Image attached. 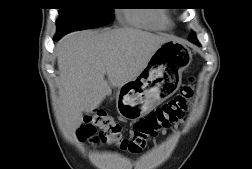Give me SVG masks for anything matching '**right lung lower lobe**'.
<instances>
[{"instance_id": "98d812e1", "label": "right lung lower lobe", "mask_w": 252, "mask_h": 169, "mask_svg": "<svg viewBox=\"0 0 252 169\" xmlns=\"http://www.w3.org/2000/svg\"><path fill=\"white\" fill-rule=\"evenodd\" d=\"M64 34L61 33H57L56 37H55V41L59 40Z\"/></svg>"}]
</instances>
